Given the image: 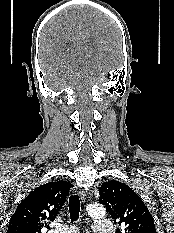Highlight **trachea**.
Segmentation results:
<instances>
[{
  "label": "trachea",
  "mask_w": 174,
  "mask_h": 233,
  "mask_svg": "<svg viewBox=\"0 0 174 233\" xmlns=\"http://www.w3.org/2000/svg\"><path fill=\"white\" fill-rule=\"evenodd\" d=\"M69 213L72 222L79 219L80 200L78 195H71L69 198Z\"/></svg>",
  "instance_id": "1"
}]
</instances>
